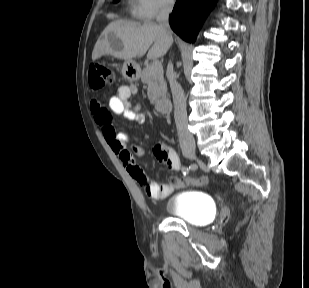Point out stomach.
<instances>
[{
	"mask_svg": "<svg viewBox=\"0 0 309 288\" xmlns=\"http://www.w3.org/2000/svg\"><path fill=\"white\" fill-rule=\"evenodd\" d=\"M122 74L128 81H137L141 75L140 66L136 61L127 59L122 65Z\"/></svg>",
	"mask_w": 309,
	"mask_h": 288,
	"instance_id": "stomach-1",
	"label": "stomach"
}]
</instances>
